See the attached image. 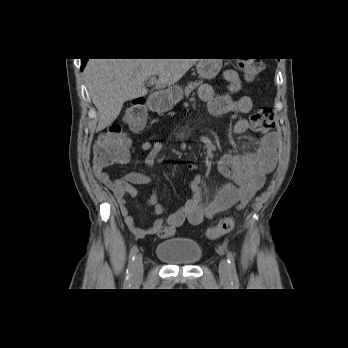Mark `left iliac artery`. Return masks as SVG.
<instances>
[{
	"label": "left iliac artery",
	"mask_w": 348,
	"mask_h": 348,
	"mask_svg": "<svg viewBox=\"0 0 348 348\" xmlns=\"http://www.w3.org/2000/svg\"><path fill=\"white\" fill-rule=\"evenodd\" d=\"M227 262L229 266V272L231 275L232 283L237 285L239 282H238V277L236 273L234 256L231 252H227Z\"/></svg>",
	"instance_id": "44dca946"
}]
</instances>
